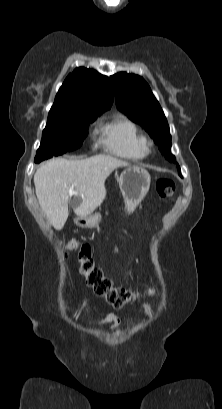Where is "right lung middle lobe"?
Listing matches in <instances>:
<instances>
[{
    "mask_svg": "<svg viewBox=\"0 0 222 409\" xmlns=\"http://www.w3.org/2000/svg\"><path fill=\"white\" fill-rule=\"evenodd\" d=\"M102 112L104 110L93 108L50 111L35 162L79 148L88 134L89 123Z\"/></svg>",
    "mask_w": 222,
    "mask_h": 409,
    "instance_id": "1",
    "label": "right lung middle lobe"
}]
</instances>
